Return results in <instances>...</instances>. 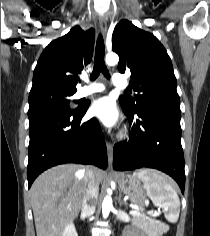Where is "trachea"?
Here are the masks:
<instances>
[{
	"instance_id": "3493384b",
	"label": "trachea",
	"mask_w": 210,
	"mask_h": 236,
	"mask_svg": "<svg viewBox=\"0 0 210 236\" xmlns=\"http://www.w3.org/2000/svg\"><path fill=\"white\" fill-rule=\"evenodd\" d=\"M104 54H105L104 41L102 36L99 35L96 42L93 72L90 76L91 81H94L101 72L104 74L106 78L108 79L110 78L109 72L104 62Z\"/></svg>"
}]
</instances>
